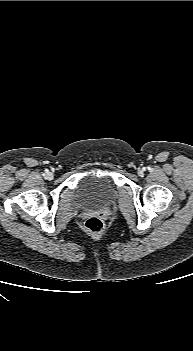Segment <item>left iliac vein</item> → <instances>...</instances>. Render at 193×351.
<instances>
[{
	"label": "left iliac vein",
	"mask_w": 193,
	"mask_h": 351,
	"mask_svg": "<svg viewBox=\"0 0 193 351\" xmlns=\"http://www.w3.org/2000/svg\"><path fill=\"white\" fill-rule=\"evenodd\" d=\"M138 174H139V175H142V174H143V171H142V170H139V171H138Z\"/></svg>",
	"instance_id": "left-iliac-vein-1"
}]
</instances>
